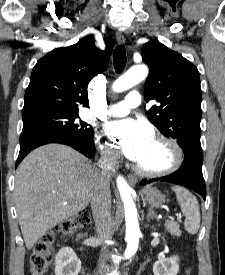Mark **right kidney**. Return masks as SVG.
Returning a JSON list of instances; mask_svg holds the SVG:
<instances>
[{"label": "right kidney", "mask_w": 225, "mask_h": 275, "mask_svg": "<svg viewBox=\"0 0 225 275\" xmlns=\"http://www.w3.org/2000/svg\"><path fill=\"white\" fill-rule=\"evenodd\" d=\"M81 261L70 247L59 250L55 259V275H78Z\"/></svg>", "instance_id": "1"}]
</instances>
